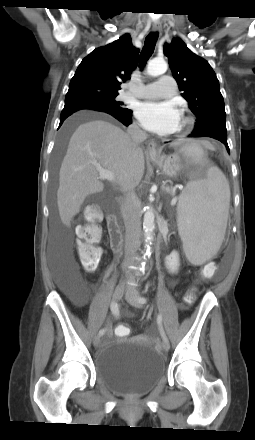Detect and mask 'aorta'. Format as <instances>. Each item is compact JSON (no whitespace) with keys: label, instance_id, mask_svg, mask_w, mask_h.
<instances>
[{"label":"aorta","instance_id":"aorta-1","mask_svg":"<svg viewBox=\"0 0 255 440\" xmlns=\"http://www.w3.org/2000/svg\"><path fill=\"white\" fill-rule=\"evenodd\" d=\"M167 63L163 59H153L148 63L147 73L150 76H159L167 71ZM155 216L152 207H147L144 219H143V230L145 237V255H150L151 245L153 241V235L155 230Z\"/></svg>","mask_w":255,"mask_h":440}]
</instances>
